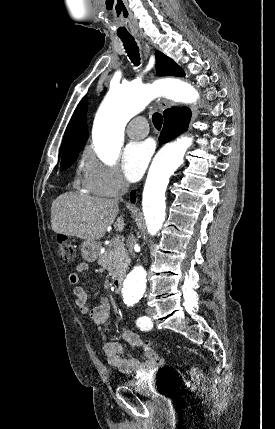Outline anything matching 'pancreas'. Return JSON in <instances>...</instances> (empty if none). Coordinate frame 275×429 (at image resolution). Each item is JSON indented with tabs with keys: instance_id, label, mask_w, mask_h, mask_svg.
<instances>
[{
	"instance_id": "obj_1",
	"label": "pancreas",
	"mask_w": 275,
	"mask_h": 429,
	"mask_svg": "<svg viewBox=\"0 0 275 429\" xmlns=\"http://www.w3.org/2000/svg\"><path fill=\"white\" fill-rule=\"evenodd\" d=\"M125 252L120 241H112L104 253H100L98 263L109 271L110 276L117 277L125 268Z\"/></svg>"
}]
</instances>
